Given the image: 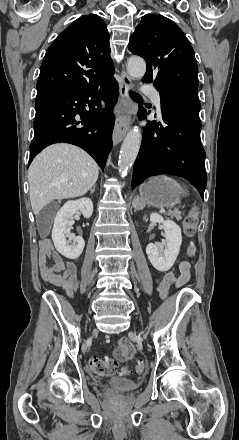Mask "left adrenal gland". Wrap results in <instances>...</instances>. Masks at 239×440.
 I'll return each instance as SVG.
<instances>
[{
  "label": "left adrenal gland",
  "mask_w": 239,
  "mask_h": 440,
  "mask_svg": "<svg viewBox=\"0 0 239 440\" xmlns=\"http://www.w3.org/2000/svg\"><path fill=\"white\" fill-rule=\"evenodd\" d=\"M132 206H133V208H136V210H139V206H137V204H135V202H133Z\"/></svg>",
  "instance_id": "left-adrenal-gland-1"
}]
</instances>
